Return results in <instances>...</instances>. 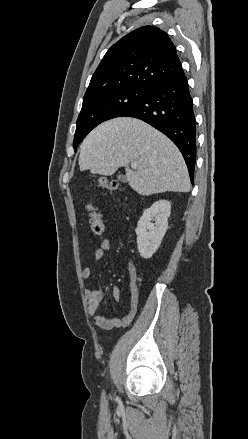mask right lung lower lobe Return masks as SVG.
<instances>
[{
  "label": "right lung lower lobe",
  "instance_id": "98d812e1",
  "mask_svg": "<svg viewBox=\"0 0 248 439\" xmlns=\"http://www.w3.org/2000/svg\"><path fill=\"white\" fill-rule=\"evenodd\" d=\"M141 119L168 136L181 151L193 183L196 162V121L187 78L176 76L151 88L119 117Z\"/></svg>",
  "mask_w": 248,
  "mask_h": 439
}]
</instances>
